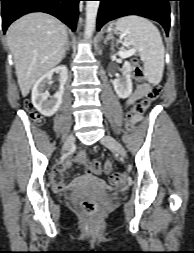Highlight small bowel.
I'll return each mask as SVG.
<instances>
[{
    "label": "small bowel",
    "mask_w": 194,
    "mask_h": 253,
    "mask_svg": "<svg viewBox=\"0 0 194 253\" xmlns=\"http://www.w3.org/2000/svg\"><path fill=\"white\" fill-rule=\"evenodd\" d=\"M151 85L149 83H142L137 86L133 94L125 101L126 106H132L137 101L141 100L144 97H147L149 94ZM132 124H136L141 121V115H135L132 118ZM71 166V162L66 160L57 170L52 173V180L54 186L58 190H63L65 188V180L63 176V172L67 170ZM111 170V164L109 162L105 165V172H109Z\"/></svg>",
    "instance_id": "1"
}]
</instances>
